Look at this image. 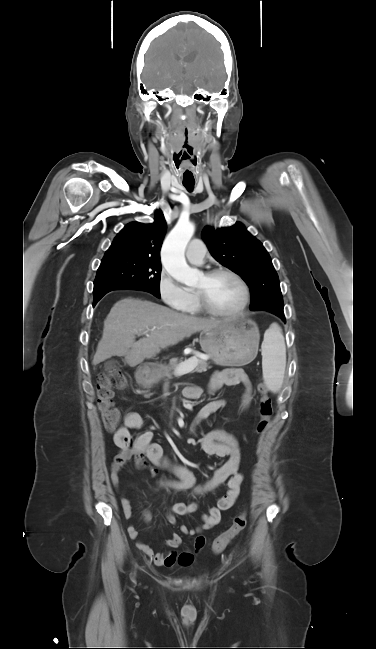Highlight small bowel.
Listing matches in <instances>:
<instances>
[{
    "label": "small bowel",
    "instance_id": "1",
    "mask_svg": "<svg viewBox=\"0 0 376 649\" xmlns=\"http://www.w3.org/2000/svg\"><path fill=\"white\" fill-rule=\"evenodd\" d=\"M242 384L245 392L242 399V405L247 407L251 400V382L244 371L240 368H228L213 374L209 390L216 391L222 386H232ZM202 390L197 386H190L184 390V395L188 399H197L200 397ZM224 406L222 400H215L207 403L201 408L197 415L196 422L207 419L217 410ZM143 425V418L138 412H129L125 415L123 426L118 428L113 435V442L118 448L110 465V480L116 490L120 485V473L124 465L135 460L139 464L150 465V471L155 475L159 470H166L174 475V479H164L159 482L162 488L173 489L177 491L191 490L194 494H202L212 491L228 483V491L217 501V507H211L207 513L201 516V523L196 528H189L185 525L179 526L182 534L193 537V550H184L178 552L177 548L181 546L183 540L180 534L174 533L165 541V545L170 550L162 553H155L151 547L140 540V535L133 525L128 526V533L131 539L136 541L137 547L148 555L158 566L172 567L176 564L181 566L190 565L195 555L204 547L205 538L203 532L216 526L221 519V510L230 508L239 495L240 486L243 482V475L238 473L242 460V451L238 440L230 433L216 429L207 433L202 441L201 446L205 453L217 457H227V461L214 471L213 476L203 485L196 484V478L192 472L182 464L174 463L168 460L160 444L154 442L152 431H145L133 439L131 430L139 429ZM121 507L126 519L132 517V507L128 497L122 496ZM197 505L195 503H175L170 507L167 513L169 524L177 525V515H186L195 512ZM146 521H150L149 512L144 513Z\"/></svg>",
    "mask_w": 376,
    "mask_h": 649
}]
</instances>
